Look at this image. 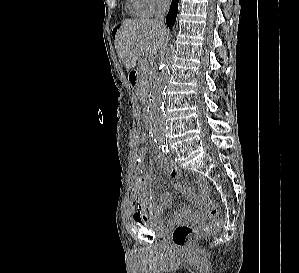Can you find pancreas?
Segmentation results:
<instances>
[{
	"label": "pancreas",
	"mask_w": 299,
	"mask_h": 273,
	"mask_svg": "<svg viewBox=\"0 0 299 273\" xmlns=\"http://www.w3.org/2000/svg\"><path fill=\"white\" fill-rule=\"evenodd\" d=\"M140 69H141V76L138 83V92L145 93L149 86L152 70L150 66L146 63H142Z\"/></svg>",
	"instance_id": "cf45deb5"
}]
</instances>
